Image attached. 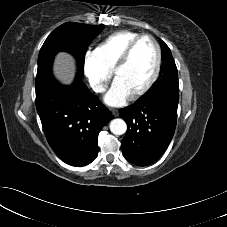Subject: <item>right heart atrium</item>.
I'll return each instance as SVG.
<instances>
[{"instance_id":"1","label":"right heart atrium","mask_w":227,"mask_h":227,"mask_svg":"<svg viewBox=\"0 0 227 227\" xmlns=\"http://www.w3.org/2000/svg\"><path fill=\"white\" fill-rule=\"evenodd\" d=\"M83 73L90 87L96 93H102L111 78L110 71L103 66L95 53L91 51L84 54Z\"/></svg>"}]
</instances>
